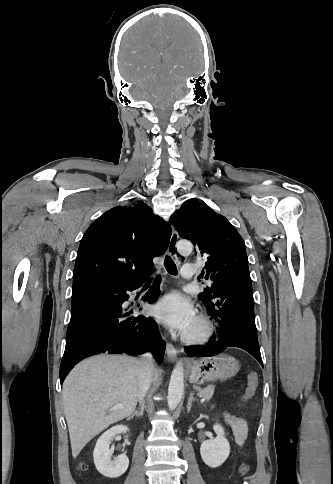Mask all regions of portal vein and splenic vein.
<instances>
[{
  "instance_id": "portal-vein-and-splenic-vein-1",
  "label": "portal vein and splenic vein",
  "mask_w": 333,
  "mask_h": 484,
  "mask_svg": "<svg viewBox=\"0 0 333 484\" xmlns=\"http://www.w3.org/2000/svg\"><path fill=\"white\" fill-rule=\"evenodd\" d=\"M123 407H124L123 404H116L115 405V408L116 409H122Z\"/></svg>"
}]
</instances>
